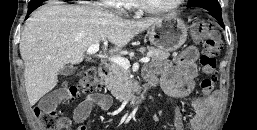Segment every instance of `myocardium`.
Wrapping results in <instances>:
<instances>
[{"label":"myocardium","mask_w":257,"mask_h":130,"mask_svg":"<svg viewBox=\"0 0 257 130\" xmlns=\"http://www.w3.org/2000/svg\"><path fill=\"white\" fill-rule=\"evenodd\" d=\"M136 7L140 9L143 12L154 14V15H160V14H167L175 11L177 8L181 6L184 0H176L172 5L164 8H154L149 6L145 0H134Z\"/></svg>","instance_id":"f54148a6"}]
</instances>
